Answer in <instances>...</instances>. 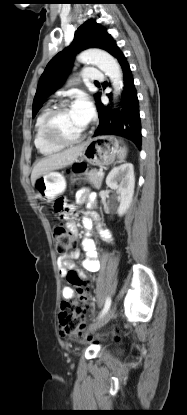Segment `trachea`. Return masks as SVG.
Wrapping results in <instances>:
<instances>
[{
	"instance_id": "1",
	"label": "trachea",
	"mask_w": 187,
	"mask_h": 415,
	"mask_svg": "<svg viewBox=\"0 0 187 415\" xmlns=\"http://www.w3.org/2000/svg\"><path fill=\"white\" fill-rule=\"evenodd\" d=\"M95 84H99V82H95Z\"/></svg>"
}]
</instances>
